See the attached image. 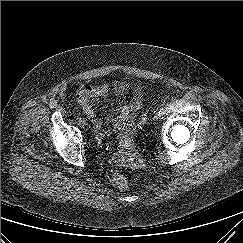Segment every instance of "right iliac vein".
Listing matches in <instances>:
<instances>
[{"instance_id":"right-iliac-vein-1","label":"right iliac vein","mask_w":243,"mask_h":243,"mask_svg":"<svg viewBox=\"0 0 243 243\" xmlns=\"http://www.w3.org/2000/svg\"><path fill=\"white\" fill-rule=\"evenodd\" d=\"M79 123H80L83 127L87 125V121H86L85 118H80V119H79Z\"/></svg>"}]
</instances>
